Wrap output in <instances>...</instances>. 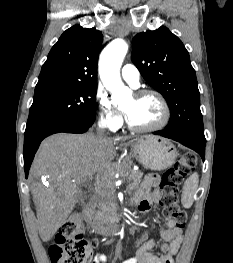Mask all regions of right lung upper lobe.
<instances>
[{
    "label": "right lung upper lobe",
    "mask_w": 233,
    "mask_h": 263,
    "mask_svg": "<svg viewBox=\"0 0 233 263\" xmlns=\"http://www.w3.org/2000/svg\"><path fill=\"white\" fill-rule=\"evenodd\" d=\"M103 36L95 28L74 25L52 47L34 95L62 88L97 85V63Z\"/></svg>",
    "instance_id": "1"
}]
</instances>
